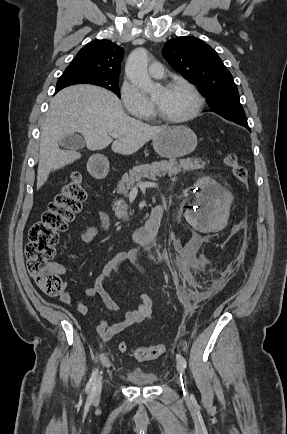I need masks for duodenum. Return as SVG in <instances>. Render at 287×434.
Returning a JSON list of instances; mask_svg holds the SVG:
<instances>
[{
    "label": "duodenum",
    "instance_id": "obj_1",
    "mask_svg": "<svg viewBox=\"0 0 287 434\" xmlns=\"http://www.w3.org/2000/svg\"><path fill=\"white\" fill-rule=\"evenodd\" d=\"M108 160L103 157L94 158L91 171L96 177H103L108 169ZM163 206H156L150 213L146 223L132 233V240L139 244H149L155 238L163 218Z\"/></svg>",
    "mask_w": 287,
    "mask_h": 434
}]
</instances>
